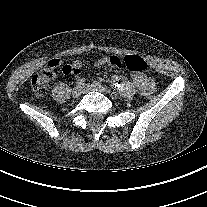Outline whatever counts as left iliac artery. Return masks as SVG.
Here are the masks:
<instances>
[{
	"label": "left iliac artery",
	"mask_w": 207,
	"mask_h": 207,
	"mask_svg": "<svg viewBox=\"0 0 207 207\" xmlns=\"http://www.w3.org/2000/svg\"><path fill=\"white\" fill-rule=\"evenodd\" d=\"M93 85L105 89V87H103V86L101 85V83H99V82H97V81H95V82L93 83Z\"/></svg>",
	"instance_id": "44dca946"
}]
</instances>
